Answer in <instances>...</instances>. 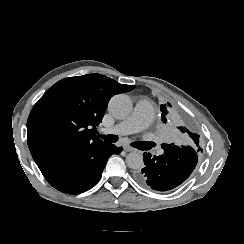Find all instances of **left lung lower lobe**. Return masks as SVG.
Here are the masks:
<instances>
[{"instance_id":"obj_1","label":"left lung lower lobe","mask_w":244,"mask_h":244,"mask_svg":"<svg viewBox=\"0 0 244 244\" xmlns=\"http://www.w3.org/2000/svg\"><path fill=\"white\" fill-rule=\"evenodd\" d=\"M162 148L164 154L160 156L143 154L145 167L135 174L139 185L158 191L177 187L190 176L198 162V152L202 151L200 147L188 145L163 144Z\"/></svg>"}]
</instances>
